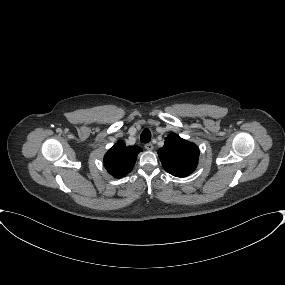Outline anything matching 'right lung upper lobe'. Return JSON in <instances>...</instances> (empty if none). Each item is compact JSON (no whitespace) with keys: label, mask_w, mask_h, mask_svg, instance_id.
Masks as SVG:
<instances>
[{"label":"right lung upper lobe","mask_w":285,"mask_h":285,"mask_svg":"<svg viewBox=\"0 0 285 285\" xmlns=\"http://www.w3.org/2000/svg\"><path fill=\"white\" fill-rule=\"evenodd\" d=\"M140 151V147L126 146L120 140L105 154L104 166L113 177L122 178L133 168Z\"/></svg>","instance_id":"cb5924a9"}]
</instances>
